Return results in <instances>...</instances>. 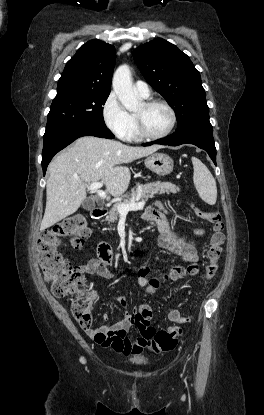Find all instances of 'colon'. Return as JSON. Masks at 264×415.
Segmentation results:
<instances>
[{
    "label": "colon",
    "mask_w": 264,
    "mask_h": 415,
    "mask_svg": "<svg viewBox=\"0 0 264 415\" xmlns=\"http://www.w3.org/2000/svg\"><path fill=\"white\" fill-rule=\"evenodd\" d=\"M196 215L206 220L211 226V236L207 250V265L205 280L210 281L218 269V261L222 254L224 242L223 222L221 213L217 210L203 211L194 208ZM90 234L86 219L83 216H74L66 219L60 225L43 229L37 241L39 265L43 278L51 284V292L56 297H69L74 319L83 329L91 328V310L97 295L86 285L85 270L69 263L60 253L63 239H67L72 248H78ZM191 266H176L172 268L165 279H181L191 273ZM175 321L187 323L179 313H173ZM134 321L144 333L147 345L153 352H165L173 349L182 330L171 327L165 330H156L153 325V314L150 308L143 307L135 315Z\"/></svg>",
    "instance_id": "1"
}]
</instances>
